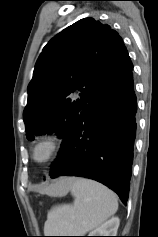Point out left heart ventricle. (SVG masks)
Returning a JSON list of instances; mask_svg holds the SVG:
<instances>
[{
  "instance_id": "left-heart-ventricle-1",
  "label": "left heart ventricle",
  "mask_w": 158,
  "mask_h": 237,
  "mask_svg": "<svg viewBox=\"0 0 158 237\" xmlns=\"http://www.w3.org/2000/svg\"><path fill=\"white\" fill-rule=\"evenodd\" d=\"M47 150H48L47 146H41L37 152L38 158H42L47 153Z\"/></svg>"
}]
</instances>
